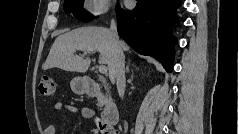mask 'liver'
<instances>
[{
  "label": "liver",
  "instance_id": "liver-1",
  "mask_svg": "<svg viewBox=\"0 0 239 134\" xmlns=\"http://www.w3.org/2000/svg\"><path fill=\"white\" fill-rule=\"evenodd\" d=\"M119 46L124 51L129 50V46L123 41H119ZM76 50L86 53L99 52V63L108 65L110 80L115 82L111 73L114 43L110 31L104 27H81L58 36L44 63V70L56 67L66 71L86 72L91 60L75 55Z\"/></svg>",
  "mask_w": 239,
  "mask_h": 134
}]
</instances>
